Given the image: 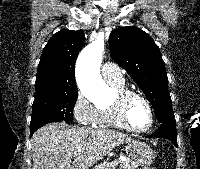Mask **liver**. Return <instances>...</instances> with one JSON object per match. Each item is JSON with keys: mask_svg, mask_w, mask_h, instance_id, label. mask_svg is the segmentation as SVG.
<instances>
[{"mask_svg": "<svg viewBox=\"0 0 200 169\" xmlns=\"http://www.w3.org/2000/svg\"><path fill=\"white\" fill-rule=\"evenodd\" d=\"M130 141L128 135L114 130L51 123L32 136L33 169H88L116 146Z\"/></svg>", "mask_w": 200, "mask_h": 169, "instance_id": "liver-1", "label": "liver"}]
</instances>
